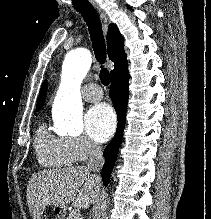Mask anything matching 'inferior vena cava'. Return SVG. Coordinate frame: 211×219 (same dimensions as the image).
<instances>
[{
    "mask_svg": "<svg viewBox=\"0 0 211 219\" xmlns=\"http://www.w3.org/2000/svg\"><path fill=\"white\" fill-rule=\"evenodd\" d=\"M90 159L87 164V170L98 173L104 164L102 149L95 143L89 144ZM96 180L100 183L101 179L98 174H94Z\"/></svg>",
    "mask_w": 211,
    "mask_h": 219,
    "instance_id": "obj_1",
    "label": "inferior vena cava"
}]
</instances>
